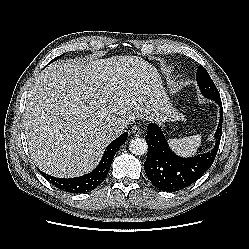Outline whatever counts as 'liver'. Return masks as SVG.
Segmentation results:
<instances>
[{
  "label": "liver",
  "instance_id": "6515ba94",
  "mask_svg": "<svg viewBox=\"0 0 249 249\" xmlns=\"http://www.w3.org/2000/svg\"><path fill=\"white\" fill-rule=\"evenodd\" d=\"M167 101L158 70L138 56L50 65L28 91L23 127L31 158L51 176L86 174L115 139V125L163 122Z\"/></svg>",
  "mask_w": 249,
  "mask_h": 249
}]
</instances>
